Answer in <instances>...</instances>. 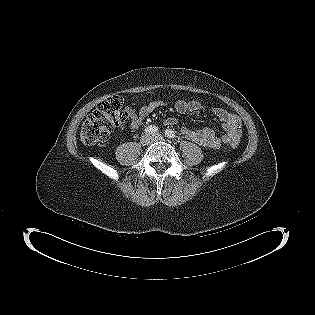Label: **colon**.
<instances>
[{
  "label": "colon",
  "mask_w": 315,
  "mask_h": 315,
  "mask_svg": "<svg viewBox=\"0 0 315 315\" xmlns=\"http://www.w3.org/2000/svg\"><path fill=\"white\" fill-rule=\"evenodd\" d=\"M128 119L127 110L123 107L120 96H110L102 101L88 116L80 131L81 141L85 145H95L109 139L115 128L124 124ZM237 142H231L236 147Z\"/></svg>",
  "instance_id": "colon-1"
}]
</instances>
